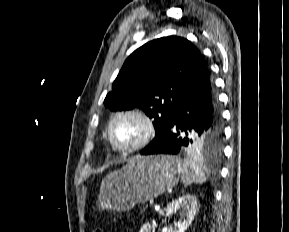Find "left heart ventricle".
<instances>
[{
	"label": "left heart ventricle",
	"instance_id": "obj_1",
	"mask_svg": "<svg viewBox=\"0 0 289 232\" xmlns=\"http://www.w3.org/2000/svg\"><path fill=\"white\" fill-rule=\"evenodd\" d=\"M113 137L120 145L136 143L144 133L143 124L135 117L119 118L113 126Z\"/></svg>",
	"mask_w": 289,
	"mask_h": 232
}]
</instances>
